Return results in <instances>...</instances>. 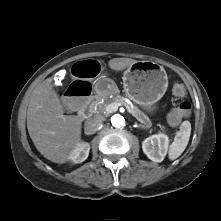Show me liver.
Masks as SVG:
<instances>
[{"mask_svg": "<svg viewBox=\"0 0 221 221\" xmlns=\"http://www.w3.org/2000/svg\"><path fill=\"white\" fill-rule=\"evenodd\" d=\"M131 58H113L110 69L122 71L135 63ZM82 119L64 115L59 95L46 79L33 91L27 110V128L36 149L48 160L63 164L80 143Z\"/></svg>", "mask_w": 221, "mask_h": 221, "instance_id": "obj_1", "label": "liver"}]
</instances>
